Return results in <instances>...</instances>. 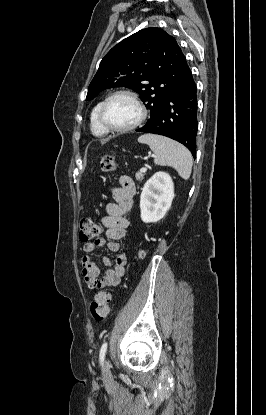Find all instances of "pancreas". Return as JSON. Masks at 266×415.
<instances>
[{"instance_id": "1", "label": "pancreas", "mask_w": 266, "mask_h": 415, "mask_svg": "<svg viewBox=\"0 0 266 415\" xmlns=\"http://www.w3.org/2000/svg\"><path fill=\"white\" fill-rule=\"evenodd\" d=\"M144 176H145V172H137L135 175V178L137 181H140L144 178Z\"/></svg>"}]
</instances>
